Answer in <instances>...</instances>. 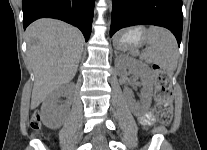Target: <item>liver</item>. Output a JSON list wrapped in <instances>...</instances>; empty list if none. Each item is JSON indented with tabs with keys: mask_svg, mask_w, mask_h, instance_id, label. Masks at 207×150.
Returning <instances> with one entry per match:
<instances>
[{
	"mask_svg": "<svg viewBox=\"0 0 207 150\" xmlns=\"http://www.w3.org/2000/svg\"><path fill=\"white\" fill-rule=\"evenodd\" d=\"M28 59L35 81L31 108L38 107L55 89L70 82L83 51L81 32L65 22L39 19L26 30Z\"/></svg>",
	"mask_w": 207,
	"mask_h": 150,
	"instance_id": "obj_1",
	"label": "liver"
}]
</instances>
